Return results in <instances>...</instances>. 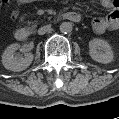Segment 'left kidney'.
Segmentation results:
<instances>
[{
    "label": "left kidney",
    "mask_w": 119,
    "mask_h": 119,
    "mask_svg": "<svg viewBox=\"0 0 119 119\" xmlns=\"http://www.w3.org/2000/svg\"><path fill=\"white\" fill-rule=\"evenodd\" d=\"M89 54L93 60L103 64L111 63L114 59L110 44L100 38L89 41Z\"/></svg>",
    "instance_id": "1"
}]
</instances>
